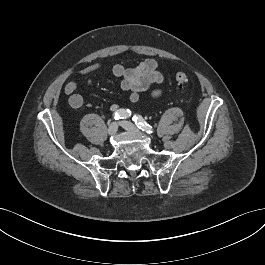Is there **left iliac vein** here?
Returning a JSON list of instances; mask_svg holds the SVG:
<instances>
[{
	"label": "left iliac vein",
	"mask_w": 265,
	"mask_h": 265,
	"mask_svg": "<svg viewBox=\"0 0 265 265\" xmlns=\"http://www.w3.org/2000/svg\"><path fill=\"white\" fill-rule=\"evenodd\" d=\"M120 125L129 132H132L137 135H144L141 131H139L134 124L129 121H122Z\"/></svg>",
	"instance_id": "1"
}]
</instances>
